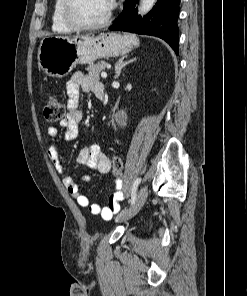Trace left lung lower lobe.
<instances>
[{"label": "left lung lower lobe", "mask_w": 247, "mask_h": 296, "mask_svg": "<svg viewBox=\"0 0 247 296\" xmlns=\"http://www.w3.org/2000/svg\"><path fill=\"white\" fill-rule=\"evenodd\" d=\"M138 1L125 0L122 13L109 29L159 37L178 54L180 0H157L156 6L143 18L137 15Z\"/></svg>", "instance_id": "obj_1"}]
</instances>
